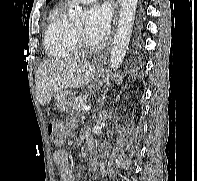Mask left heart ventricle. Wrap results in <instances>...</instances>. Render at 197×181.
<instances>
[{
    "label": "left heart ventricle",
    "instance_id": "1",
    "mask_svg": "<svg viewBox=\"0 0 197 181\" xmlns=\"http://www.w3.org/2000/svg\"><path fill=\"white\" fill-rule=\"evenodd\" d=\"M86 26H80V27H76V31L81 35L83 36L89 43L93 44L94 42L91 41L89 39V37L87 36V33H86Z\"/></svg>",
    "mask_w": 197,
    "mask_h": 181
}]
</instances>
